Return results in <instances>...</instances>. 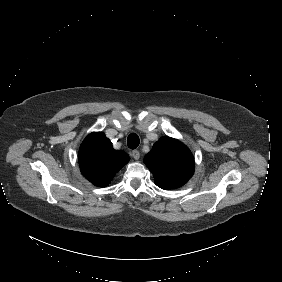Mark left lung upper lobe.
Instances as JSON below:
<instances>
[{
	"label": "left lung upper lobe",
	"instance_id": "1",
	"mask_svg": "<svg viewBox=\"0 0 282 282\" xmlns=\"http://www.w3.org/2000/svg\"><path fill=\"white\" fill-rule=\"evenodd\" d=\"M144 163L153 173L155 184L165 190L183 186L194 173V157L180 141L164 136L145 155Z\"/></svg>",
	"mask_w": 282,
	"mask_h": 282
}]
</instances>
